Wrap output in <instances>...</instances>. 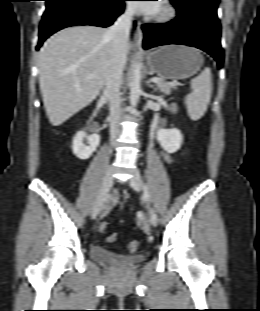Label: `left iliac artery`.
I'll return each instance as SVG.
<instances>
[{
    "label": "left iliac artery",
    "mask_w": 260,
    "mask_h": 311,
    "mask_svg": "<svg viewBox=\"0 0 260 311\" xmlns=\"http://www.w3.org/2000/svg\"><path fill=\"white\" fill-rule=\"evenodd\" d=\"M144 198L149 201V192L146 184H144Z\"/></svg>",
    "instance_id": "obj_1"
}]
</instances>
